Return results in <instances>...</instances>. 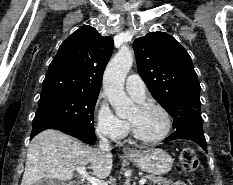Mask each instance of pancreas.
Segmentation results:
<instances>
[{"instance_id": "obj_1", "label": "pancreas", "mask_w": 233, "mask_h": 185, "mask_svg": "<svg viewBox=\"0 0 233 185\" xmlns=\"http://www.w3.org/2000/svg\"><path fill=\"white\" fill-rule=\"evenodd\" d=\"M144 178L150 181L149 185H173L170 179L161 176L145 175Z\"/></svg>"}]
</instances>
